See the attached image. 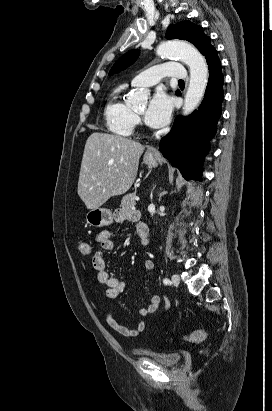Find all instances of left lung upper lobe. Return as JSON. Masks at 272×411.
Segmentation results:
<instances>
[{"label": "left lung upper lobe", "mask_w": 272, "mask_h": 411, "mask_svg": "<svg viewBox=\"0 0 272 411\" xmlns=\"http://www.w3.org/2000/svg\"><path fill=\"white\" fill-rule=\"evenodd\" d=\"M167 39H183L191 42L206 57L214 49L210 38L203 33L202 27L189 21L172 24L166 31ZM139 55L138 50H133L123 55L111 68L109 75L118 73L135 62ZM177 93V92H176Z\"/></svg>", "instance_id": "1"}]
</instances>
